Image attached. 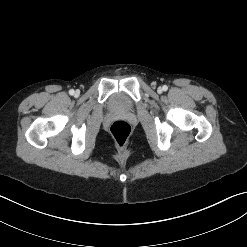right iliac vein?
I'll return each mask as SVG.
<instances>
[{
    "instance_id": "obj_1",
    "label": "right iliac vein",
    "mask_w": 247,
    "mask_h": 247,
    "mask_svg": "<svg viewBox=\"0 0 247 247\" xmlns=\"http://www.w3.org/2000/svg\"><path fill=\"white\" fill-rule=\"evenodd\" d=\"M80 94V92L77 90L76 92H75V96H78Z\"/></svg>"
}]
</instances>
